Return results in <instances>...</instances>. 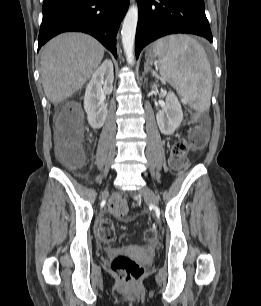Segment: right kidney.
<instances>
[{
	"mask_svg": "<svg viewBox=\"0 0 261 306\" xmlns=\"http://www.w3.org/2000/svg\"><path fill=\"white\" fill-rule=\"evenodd\" d=\"M113 63L106 59L92 75L84 96V109L87 119L93 129L101 128L107 117V104L104 103L106 95L113 89Z\"/></svg>",
	"mask_w": 261,
	"mask_h": 306,
	"instance_id": "obj_1",
	"label": "right kidney"
}]
</instances>
